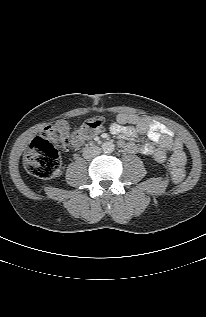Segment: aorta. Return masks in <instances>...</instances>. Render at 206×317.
<instances>
[{
	"label": "aorta",
	"instance_id": "aorta-1",
	"mask_svg": "<svg viewBox=\"0 0 206 317\" xmlns=\"http://www.w3.org/2000/svg\"><path fill=\"white\" fill-rule=\"evenodd\" d=\"M115 149V145L111 141H107L102 144V150L104 153H112Z\"/></svg>",
	"mask_w": 206,
	"mask_h": 317
}]
</instances>
